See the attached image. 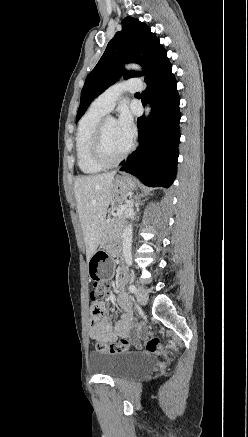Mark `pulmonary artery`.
<instances>
[{
	"label": "pulmonary artery",
	"mask_w": 248,
	"mask_h": 437,
	"mask_svg": "<svg viewBox=\"0 0 248 437\" xmlns=\"http://www.w3.org/2000/svg\"><path fill=\"white\" fill-rule=\"evenodd\" d=\"M142 89V82L140 78L133 77L121 82H118L102 94H100L92 103V106L105 113L110 112L116 102L120 99L121 95L125 92H137Z\"/></svg>",
	"instance_id": "obj_1"
}]
</instances>
